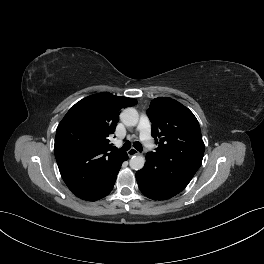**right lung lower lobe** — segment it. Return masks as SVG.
I'll list each match as a JSON object with an SVG mask.
<instances>
[{
    "label": "right lung lower lobe",
    "instance_id": "obj_1",
    "mask_svg": "<svg viewBox=\"0 0 264 264\" xmlns=\"http://www.w3.org/2000/svg\"><path fill=\"white\" fill-rule=\"evenodd\" d=\"M128 159V155L125 157V159L123 160V161H125V160H127ZM120 167H121V164H120ZM119 170H120V168H119ZM114 186V185H113ZM112 190V189H111ZM110 193V192H109ZM108 193V194H109Z\"/></svg>",
    "mask_w": 264,
    "mask_h": 264
}]
</instances>
